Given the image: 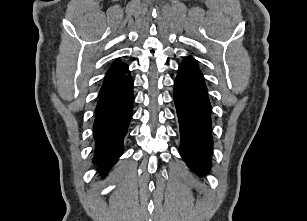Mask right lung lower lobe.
Instances as JSON below:
<instances>
[{"label": "right lung lower lobe", "instance_id": "1", "mask_svg": "<svg viewBox=\"0 0 307 221\" xmlns=\"http://www.w3.org/2000/svg\"><path fill=\"white\" fill-rule=\"evenodd\" d=\"M133 81L100 92L93 134L96 142L94 161L104 172L122 155L123 139L132 117Z\"/></svg>", "mask_w": 307, "mask_h": 221}]
</instances>
